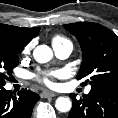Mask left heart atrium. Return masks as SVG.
Masks as SVG:
<instances>
[{
    "label": "left heart atrium",
    "mask_w": 118,
    "mask_h": 118,
    "mask_svg": "<svg viewBox=\"0 0 118 118\" xmlns=\"http://www.w3.org/2000/svg\"><path fill=\"white\" fill-rule=\"evenodd\" d=\"M62 72L60 70H50V71H39L31 75V77L38 82L48 86L53 87L55 85L54 79L60 77Z\"/></svg>",
    "instance_id": "left-heart-atrium-1"
}]
</instances>
